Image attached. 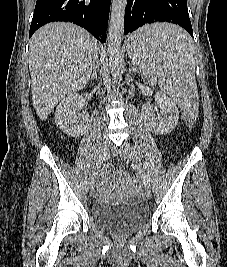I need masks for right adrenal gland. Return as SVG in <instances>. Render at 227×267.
Listing matches in <instances>:
<instances>
[{
	"label": "right adrenal gland",
	"mask_w": 227,
	"mask_h": 267,
	"mask_svg": "<svg viewBox=\"0 0 227 267\" xmlns=\"http://www.w3.org/2000/svg\"><path fill=\"white\" fill-rule=\"evenodd\" d=\"M99 70V64L95 65L94 68H93V72H92V75L90 76L89 78V82L93 81L95 78H97V72Z\"/></svg>",
	"instance_id": "right-adrenal-gland-1"
}]
</instances>
